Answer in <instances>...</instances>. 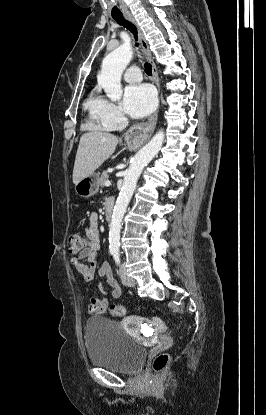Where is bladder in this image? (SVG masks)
Here are the masks:
<instances>
[{
    "mask_svg": "<svg viewBox=\"0 0 266 415\" xmlns=\"http://www.w3.org/2000/svg\"><path fill=\"white\" fill-rule=\"evenodd\" d=\"M85 345L89 362L120 373L137 372L146 357V349L116 321L94 316L85 326Z\"/></svg>",
    "mask_w": 266,
    "mask_h": 415,
    "instance_id": "obj_1",
    "label": "bladder"
}]
</instances>
